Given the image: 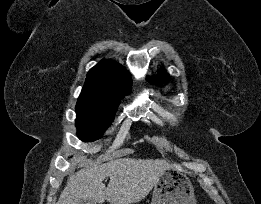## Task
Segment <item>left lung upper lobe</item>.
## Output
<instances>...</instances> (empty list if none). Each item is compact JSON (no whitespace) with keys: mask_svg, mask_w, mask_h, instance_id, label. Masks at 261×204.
Masks as SVG:
<instances>
[{"mask_svg":"<svg viewBox=\"0 0 261 204\" xmlns=\"http://www.w3.org/2000/svg\"><path fill=\"white\" fill-rule=\"evenodd\" d=\"M163 80H164V76L163 75H159L158 77H153V81L154 82L163 81Z\"/></svg>","mask_w":261,"mask_h":204,"instance_id":"5c2ea615","label":"left lung upper lobe"}]
</instances>
